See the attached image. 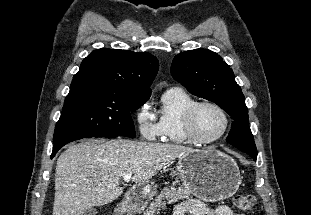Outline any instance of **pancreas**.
Segmentation results:
<instances>
[{"instance_id": "obj_1", "label": "pancreas", "mask_w": 311, "mask_h": 215, "mask_svg": "<svg viewBox=\"0 0 311 215\" xmlns=\"http://www.w3.org/2000/svg\"><path fill=\"white\" fill-rule=\"evenodd\" d=\"M189 198V194L182 188L176 190V188H163L161 193L150 203V206L145 210L144 215L158 214L161 207H164L167 203H175L178 200Z\"/></svg>"}]
</instances>
